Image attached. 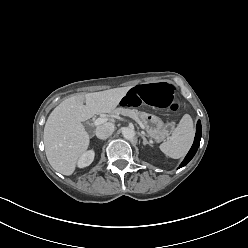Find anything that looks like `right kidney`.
I'll return each mask as SVG.
<instances>
[{
	"label": "right kidney",
	"mask_w": 248,
	"mask_h": 248,
	"mask_svg": "<svg viewBox=\"0 0 248 248\" xmlns=\"http://www.w3.org/2000/svg\"><path fill=\"white\" fill-rule=\"evenodd\" d=\"M94 160V151L90 150L84 153L78 160V167L83 168L89 166Z\"/></svg>",
	"instance_id": "obj_1"
}]
</instances>
